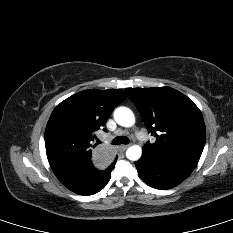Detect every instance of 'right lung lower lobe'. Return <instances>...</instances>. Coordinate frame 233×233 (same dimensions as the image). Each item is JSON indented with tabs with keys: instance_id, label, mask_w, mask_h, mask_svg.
I'll return each mask as SVG.
<instances>
[{
	"instance_id": "right-lung-lower-lobe-1",
	"label": "right lung lower lobe",
	"mask_w": 233,
	"mask_h": 233,
	"mask_svg": "<svg viewBox=\"0 0 233 233\" xmlns=\"http://www.w3.org/2000/svg\"><path fill=\"white\" fill-rule=\"evenodd\" d=\"M116 159L110 165L95 160L89 164H77L53 169V171L60 182L69 190L80 195H92L106 186Z\"/></svg>"
}]
</instances>
